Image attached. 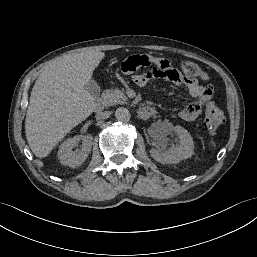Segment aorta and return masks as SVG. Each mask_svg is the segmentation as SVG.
Segmentation results:
<instances>
[{
	"mask_svg": "<svg viewBox=\"0 0 257 257\" xmlns=\"http://www.w3.org/2000/svg\"><path fill=\"white\" fill-rule=\"evenodd\" d=\"M115 117L117 120L122 122H128L130 120V112L124 107H119L115 111Z\"/></svg>",
	"mask_w": 257,
	"mask_h": 257,
	"instance_id": "aorta-1",
	"label": "aorta"
}]
</instances>
